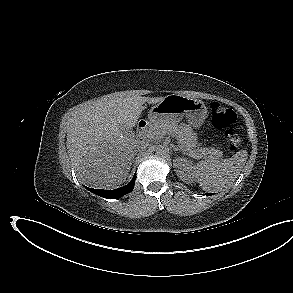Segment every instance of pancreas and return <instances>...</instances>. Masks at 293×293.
<instances>
[{
  "label": "pancreas",
  "instance_id": "obj_1",
  "mask_svg": "<svg viewBox=\"0 0 293 293\" xmlns=\"http://www.w3.org/2000/svg\"><path fill=\"white\" fill-rule=\"evenodd\" d=\"M167 133L176 135L183 152L195 159L220 158L223 152L215 148H200L197 145V137L191 127L185 124L159 123L151 126L146 134L151 141L161 139Z\"/></svg>",
  "mask_w": 293,
  "mask_h": 293
}]
</instances>
